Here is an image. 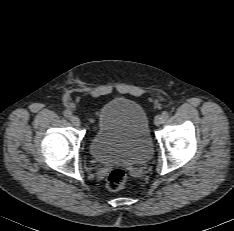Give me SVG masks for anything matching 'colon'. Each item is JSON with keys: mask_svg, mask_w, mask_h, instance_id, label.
<instances>
[{"mask_svg": "<svg viewBox=\"0 0 234 231\" xmlns=\"http://www.w3.org/2000/svg\"><path fill=\"white\" fill-rule=\"evenodd\" d=\"M128 182V174L125 170L113 169L107 176L106 184L109 190L118 191L125 187Z\"/></svg>", "mask_w": 234, "mask_h": 231, "instance_id": "1", "label": "colon"}]
</instances>
